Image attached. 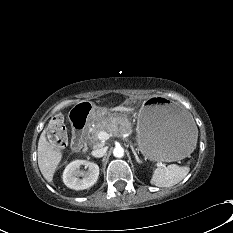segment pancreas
I'll return each instance as SVG.
<instances>
[{"instance_id":"pancreas-1","label":"pancreas","mask_w":233,"mask_h":233,"mask_svg":"<svg viewBox=\"0 0 233 233\" xmlns=\"http://www.w3.org/2000/svg\"><path fill=\"white\" fill-rule=\"evenodd\" d=\"M130 130L131 128L129 124L125 123L118 126L114 122L103 120L89 130L88 137L91 144H93L94 146H98L100 144V141L98 139V133L100 131H107L113 136H121L123 134L129 133Z\"/></svg>"}]
</instances>
